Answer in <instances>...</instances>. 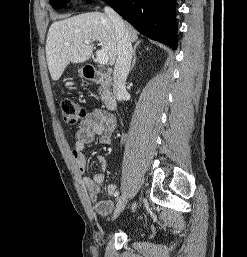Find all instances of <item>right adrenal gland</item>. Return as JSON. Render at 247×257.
I'll return each instance as SVG.
<instances>
[{
	"label": "right adrenal gland",
	"instance_id": "2a0ac1e0",
	"mask_svg": "<svg viewBox=\"0 0 247 257\" xmlns=\"http://www.w3.org/2000/svg\"><path fill=\"white\" fill-rule=\"evenodd\" d=\"M140 42H137L135 45H134V49H133V61H132V64H131V67H130V71L134 68L135 66V63H136V50L139 46Z\"/></svg>",
	"mask_w": 247,
	"mask_h": 257
}]
</instances>
